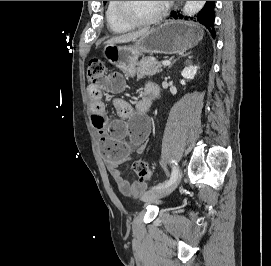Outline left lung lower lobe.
I'll return each instance as SVG.
<instances>
[{
  "instance_id": "0a47b994",
  "label": "left lung lower lobe",
  "mask_w": 271,
  "mask_h": 266,
  "mask_svg": "<svg viewBox=\"0 0 271 266\" xmlns=\"http://www.w3.org/2000/svg\"><path fill=\"white\" fill-rule=\"evenodd\" d=\"M214 7L215 3L214 1H206L205 5L201 9V11L193 18L191 17V20L194 19V21L199 22L203 26H205L211 35L215 37V29H214ZM171 17L175 19H181L183 18L179 12H172ZM187 18V17H185Z\"/></svg>"
}]
</instances>
